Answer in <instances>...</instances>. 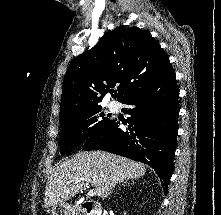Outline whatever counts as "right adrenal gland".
Masks as SVG:
<instances>
[{"label": "right adrenal gland", "mask_w": 221, "mask_h": 215, "mask_svg": "<svg viewBox=\"0 0 221 215\" xmlns=\"http://www.w3.org/2000/svg\"><path fill=\"white\" fill-rule=\"evenodd\" d=\"M125 183H126V181L121 182L120 185H123V184H125ZM109 194H111V191L108 193V195H109Z\"/></svg>", "instance_id": "obj_1"}]
</instances>
